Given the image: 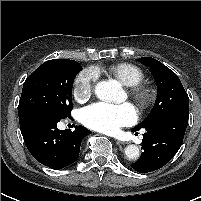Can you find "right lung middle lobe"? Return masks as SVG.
Masks as SVG:
<instances>
[{
  "instance_id": "right-lung-middle-lobe-1",
  "label": "right lung middle lobe",
  "mask_w": 201,
  "mask_h": 201,
  "mask_svg": "<svg viewBox=\"0 0 201 201\" xmlns=\"http://www.w3.org/2000/svg\"><path fill=\"white\" fill-rule=\"evenodd\" d=\"M82 66L74 60L53 59L40 65L24 82L18 106L19 120L33 113L65 119L72 110V87Z\"/></svg>"
}]
</instances>
